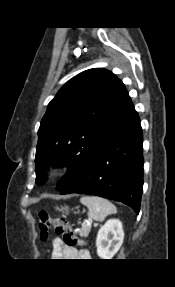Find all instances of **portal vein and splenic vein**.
<instances>
[{
	"label": "portal vein and splenic vein",
	"mask_w": 175,
	"mask_h": 287,
	"mask_svg": "<svg viewBox=\"0 0 175 287\" xmlns=\"http://www.w3.org/2000/svg\"><path fill=\"white\" fill-rule=\"evenodd\" d=\"M87 224H88V225H90V224H91V222H90V221H87ZM82 226H84V224H82Z\"/></svg>",
	"instance_id": "1"
}]
</instances>
